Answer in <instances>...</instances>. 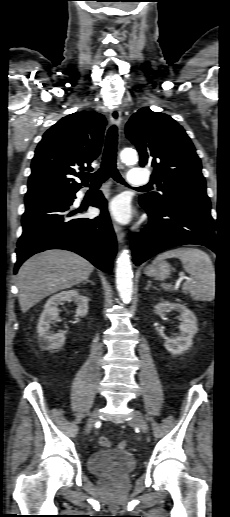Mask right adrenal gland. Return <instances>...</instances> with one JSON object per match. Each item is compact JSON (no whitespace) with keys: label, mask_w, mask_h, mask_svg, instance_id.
I'll use <instances>...</instances> for the list:
<instances>
[{"label":"right adrenal gland","mask_w":230,"mask_h":517,"mask_svg":"<svg viewBox=\"0 0 230 517\" xmlns=\"http://www.w3.org/2000/svg\"><path fill=\"white\" fill-rule=\"evenodd\" d=\"M87 282H90L92 285H95V282H93L92 280L90 279H86L83 283H87Z\"/></svg>","instance_id":"1"}]
</instances>
